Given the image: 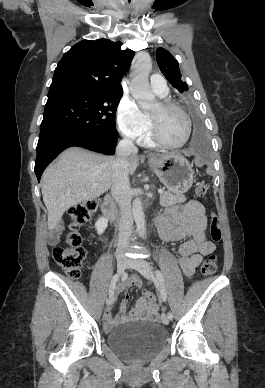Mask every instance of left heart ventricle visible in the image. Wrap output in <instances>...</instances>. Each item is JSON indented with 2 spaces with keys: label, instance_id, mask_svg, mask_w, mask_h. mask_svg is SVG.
<instances>
[{
  "label": "left heart ventricle",
  "instance_id": "1",
  "mask_svg": "<svg viewBox=\"0 0 265 388\" xmlns=\"http://www.w3.org/2000/svg\"><path fill=\"white\" fill-rule=\"evenodd\" d=\"M150 91H155L150 85ZM156 92V91H155ZM161 136L169 143H179L184 136V120L175 110H164L160 104L151 112Z\"/></svg>",
  "mask_w": 265,
  "mask_h": 388
}]
</instances>
